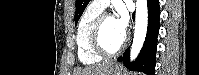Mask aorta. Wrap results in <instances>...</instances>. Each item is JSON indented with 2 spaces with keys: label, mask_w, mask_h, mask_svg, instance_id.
I'll use <instances>...</instances> for the list:
<instances>
[{
  "label": "aorta",
  "mask_w": 199,
  "mask_h": 75,
  "mask_svg": "<svg viewBox=\"0 0 199 75\" xmlns=\"http://www.w3.org/2000/svg\"><path fill=\"white\" fill-rule=\"evenodd\" d=\"M148 26V7L147 0H136L135 31L130 52V59L134 60L146 38Z\"/></svg>",
  "instance_id": "aorta-1"
}]
</instances>
